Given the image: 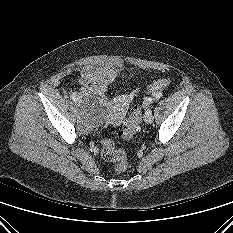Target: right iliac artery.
<instances>
[{
    "label": "right iliac artery",
    "instance_id": "right-iliac-artery-1",
    "mask_svg": "<svg viewBox=\"0 0 233 233\" xmlns=\"http://www.w3.org/2000/svg\"><path fill=\"white\" fill-rule=\"evenodd\" d=\"M70 97L72 98L73 101H77L78 100V98H77V96H76L75 93H72Z\"/></svg>",
    "mask_w": 233,
    "mask_h": 233
}]
</instances>
